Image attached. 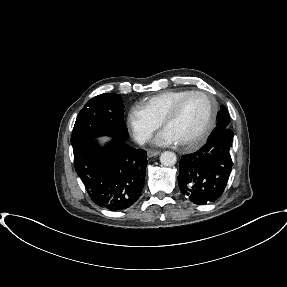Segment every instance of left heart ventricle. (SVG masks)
Masks as SVG:
<instances>
[{
    "instance_id": "obj_1",
    "label": "left heart ventricle",
    "mask_w": 287,
    "mask_h": 287,
    "mask_svg": "<svg viewBox=\"0 0 287 287\" xmlns=\"http://www.w3.org/2000/svg\"><path fill=\"white\" fill-rule=\"evenodd\" d=\"M208 113L207 100L202 96H193L184 103L176 118L166 124L165 130L169 131L178 143L192 140L204 129Z\"/></svg>"
}]
</instances>
